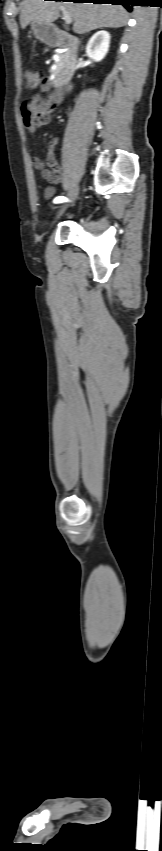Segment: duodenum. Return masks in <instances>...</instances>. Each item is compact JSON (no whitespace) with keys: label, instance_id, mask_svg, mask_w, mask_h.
Masks as SVG:
<instances>
[{"label":"duodenum","instance_id":"410a0bca","mask_svg":"<svg viewBox=\"0 0 162 851\" xmlns=\"http://www.w3.org/2000/svg\"><path fill=\"white\" fill-rule=\"evenodd\" d=\"M50 43H51V45H54V46H66L71 51V57H70L68 66H66L61 71V76L58 79L59 80L58 86L61 85V84L62 85L68 84V82L70 80H72V75L74 74L75 68L77 67L78 41L71 34L65 32L63 30H57L51 36ZM58 86H57V88H58ZM57 88L54 89V90H57Z\"/></svg>","mask_w":162,"mask_h":851}]
</instances>
